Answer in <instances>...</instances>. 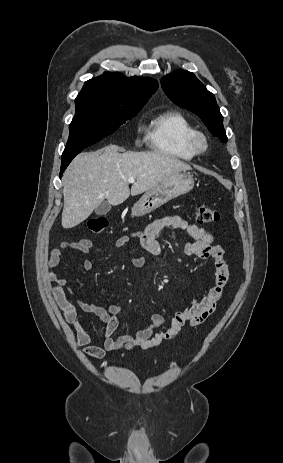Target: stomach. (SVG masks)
I'll return each instance as SVG.
<instances>
[{
    "label": "stomach",
    "mask_w": 283,
    "mask_h": 463,
    "mask_svg": "<svg viewBox=\"0 0 283 463\" xmlns=\"http://www.w3.org/2000/svg\"><path fill=\"white\" fill-rule=\"evenodd\" d=\"M194 180L189 174L172 175L151 188L134 204L132 216H144L166 202L193 189Z\"/></svg>",
    "instance_id": "0dacf381"
}]
</instances>
